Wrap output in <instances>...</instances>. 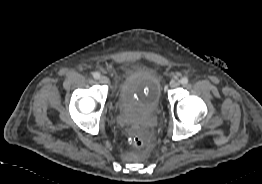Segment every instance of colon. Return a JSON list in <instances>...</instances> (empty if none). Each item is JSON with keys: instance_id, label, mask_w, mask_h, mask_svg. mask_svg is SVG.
Returning a JSON list of instances; mask_svg holds the SVG:
<instances>
[{"instance_id": "5ec220e1", "label": "colon", "mask_w": 262, "mask_h": 184, "mask_svg": "<svg viewBox=\"0 0 262 184\" xmlns=\"http://www.w3.org/2000/svg\"><path fill=\"white\" fill-rule=\"evenodd\" d=\"M132 142L133 144L136 146V147H142L144 144H145V141L142 137L140 136H135L133 139H132Z\"/></svg>"}]
</instances>
